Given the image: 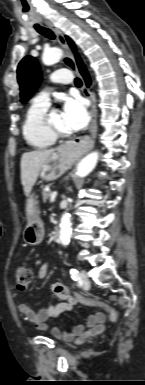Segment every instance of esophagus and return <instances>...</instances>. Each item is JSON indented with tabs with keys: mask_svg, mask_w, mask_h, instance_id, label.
Returning <instances> with one entry per match:
<instances>
[{
	"mask_svg": "<svg viewBox=\"0 0 145 385\" xmlns=\"http://www.w3.org/2000/svg\"><path fill=\"white\" fill-rule=\"evenodd\" d=\"M46 25L55 33L57 37V41L60 46L64 49L65 53L63 55V62L66 66H68L71 70H73L77 75H80L76 62L73 56L69 52V47L67 41L57 27H55L51 22H46ZM83 94L87 97L91 102V115L92 120L90 124V136H85L83 138L77 139L71 142L68 146L72 150H76L78 152L86 153L91 150L95 143V138L97 134V107H96V96L91 88L87 87L85 84L82 88Z\"/></svg>",
	"mask_w": 145,
	"mask_h": 385,
	"instance_id": "esophagus-1",
	"label": "esophagus"
}]
</instances>
